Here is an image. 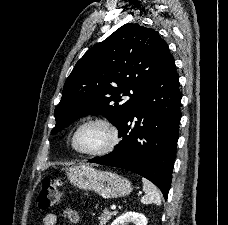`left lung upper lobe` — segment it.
<instances>
[{
    "instance_id": "1",
    "label": "left lung upper lobe",
    "mask_w": 228,
    "mask_h": 225,
    "mask_svg": "<svg viewBox=\"0 0 228 225\" xmlns=\"http://www.w3.org/2000/svg\"><path fill=\"white\" fill-rule=\"evenodd\" d=\"M172 58L157 31L127 23L90 48L67 78L54 116L56 134L73 120L102 114L116 127ZM122 96H130L124 101Z\"/></svg>"
}]
</instances>
